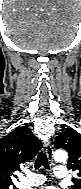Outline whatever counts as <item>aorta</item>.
Wrapping results in <instances>:
<instances>
[{"label": "aorta", "instance_id": "1", "mask_svg": "<svg viewBox=\"0 0 81 189\" xmlns=\"http://www.w3.org/2000/svg\"><path fill=\"white\" fill-rule=\"evenodd\" d=\"M68 159V154L64 150H57L54 153V160L56 162L65 163Z\"/></svg>", "mask_w": 81, "mask_h": 189}]
</instances>
